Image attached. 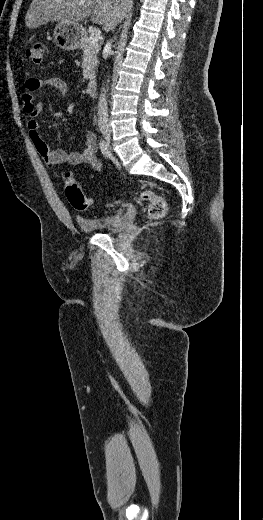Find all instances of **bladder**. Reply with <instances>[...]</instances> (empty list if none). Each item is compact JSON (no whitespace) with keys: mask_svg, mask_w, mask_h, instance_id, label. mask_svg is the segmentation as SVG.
<instances>
[{"mask_svg":"<svg viewBox=\"0 0 263 520\" xmlns=\"http://www.w3.org/2000/svg\"><path fill=\"white\" fill-rule=\"evenodd\" d=\"M76 223L84 232L113 231L121 227L122 218L117 214L94 218L77 217Z\"/></svg>","mask_w":263,"mask_h":520,"instance_id":"1","label":"bladder"}]
</instances>
